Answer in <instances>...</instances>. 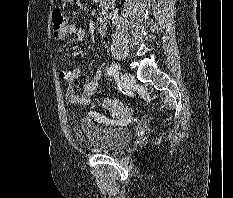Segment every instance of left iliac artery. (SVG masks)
<instances>
[{"label":"left iliac artery","instance_id":"44dca946","mask_svg":"<svg viewBox=\"0 0 233 198\" xmlns=\"http://www.w3.org/2000/svg\"><path fill=\"white\" fill-rule=\"evenodd\" d=\"M118 70H119V67L117 65V63L113 62L111 65H110V68L108 70V75L111 76V75H118Z\"/></svg>","mask_w":233,"mask_h":198}]
</instances>
